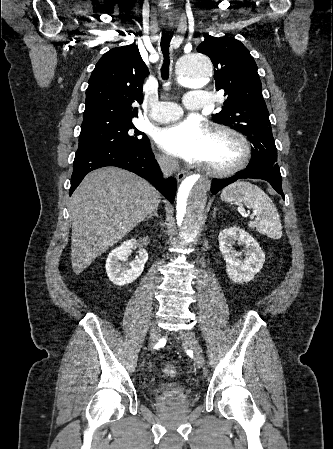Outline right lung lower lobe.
I'll return each instance as SVG.
<instances>
[{
    "label": "right lung lower lobe",
    "instance_id": "98d812e1",
    "mask_svg": "<svg viewBox=\"0 0 333 449\" xmlns=\"http://www.w3.org/2000/svg\"><path fill=\"white\" fill-rule=\"evenodd\" d=\"M105 166L120 167L151 181L173 203L177 188L176 180L171 177L163 180L149 142L140 150L117 147L78 149L74 159L70 195L87 173Z\"/></svg>",
    "mask_w": 333,
    "mask_h": 449
}]
</instances>
